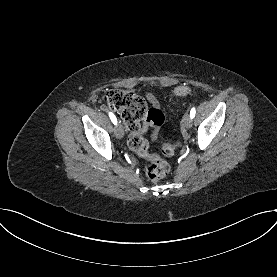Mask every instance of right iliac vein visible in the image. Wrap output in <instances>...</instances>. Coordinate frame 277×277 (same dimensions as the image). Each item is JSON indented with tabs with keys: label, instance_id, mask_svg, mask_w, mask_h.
<instances>
[{
	"label": "right iliac vein",
	"instance_id": "63e3f726",
	"mask_svg": "<svg viewBox=\"0 0 277 277\" xmlns=\"http://www.w3.org/2000/svg\"><path fill=\"white\" fill-rule=\"evenodd\" d=\"M115 135L117 138L121 139L124 136V129L121 124H117L115 127Z\"/></svg>",
	"mask_w": 277,
	"mask_h": 277
}]
</instances>
